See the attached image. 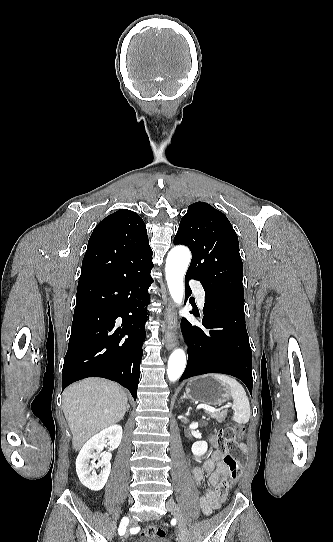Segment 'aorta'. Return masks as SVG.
Returning a JSON list of instances; mask_svg holds the SVG:
<instances>
[{"instance_id": "obj_1", "label": "aorta", "mask_w": 333, "mask_h": 542, "mask_svg": "<svg viewBox=\"0 0 333 542\" xmlns=\"http://www.w3.org/2000/svg\"><path fill=\"white\" fill-rule=\"evenodd\" d=\"M191 252L186 246H175L170 250L166 260V280L169 294L181 306L184 298V276L190 264ZM186 368V354L184 350H174L167 366L169 382H177Z\"/></svg>"}]
</instances>
